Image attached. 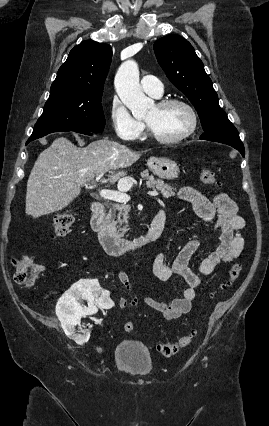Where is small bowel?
I'll use <instances>...</instances> for the list:
<instances>
[{"mask_svg":"<svg viewBox=\"0 0 269 426\" xmlns=\"http://www.w3.org/2000/svg\"><path fill=\"white\" fill-rule=\"evenodd\" d=\"M178 197L190 203L197 217L205 224V230H216L219 242L200 264L199 273L209 275L223 263H230L238 258L244 250L245 240L241 231L245 228V220L238 214L236 203L223 192L216 193L212 199L207 198L197 189L189 186L181 187ZM200 237L190 239L181 248L173 263L169 266L166 255L160 253L153 262L155 276L161 281L169 280L173 275H179L187 282L181 297L170 301H157L149 296L138 297L132 290L129 275L123 269H118L117 278L127 296L117 301L121 309H132L141 302L147 308L167 320L175 319L191 310L196 298V292L201 285V277L189 267V262L198 248Z\"/></svg>","mask_w":269,"mask_h":426,"instance_id":"small-bowel-1","label":"small bowel"}]
</instances>
